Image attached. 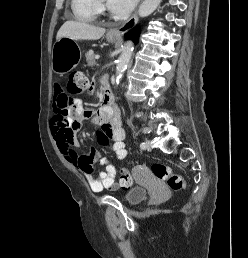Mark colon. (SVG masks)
I'll return each instance as SVG.
<instances>
[{
	"mask_svg": "<svg viewBox=\"0 0 248 258\" xmlns=\"http://www.w3.org/2000/svg\"><path fill=\"white\" fill-rule=\"evenodd\" d=\"M88 87H89L88 79L85 76V74H83L82 72H74L70 76V81H69L70 94L81 95L88 90ZM107 148L112 151L114 148V145L108 144ZM116 157L118 158L119 156L117 155ZM121 161L123 162L124 160L122 159ZM119 168L126 169L127 168L126 163L120 164ZM150 170L154 178L160 181H164L169 186V188L172 189L173 191H181L185 188V182L182 176L175 173L169 166L163 163L155 162L150 166ZM120 183L125 188H129L132 186L133 178H132V175L127 170H122L121 176H120Z\"/></svg>",
	"mask_w": 248,
	"mask_h": 258,
	"instance_id": "5ec220e1",
	"label": "colon"
}]
</instances>
